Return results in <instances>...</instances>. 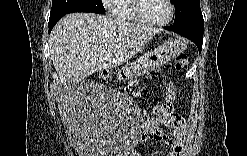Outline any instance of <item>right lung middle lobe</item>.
Listing matches in <instances>:
<instances>
[{"label":"right lung middle lobe","instance_id":"right-lung-middle-lobe-1","mask_svg":"<svg viewBox=\"0 0 247 156\" xmlns=\"http://www.w3.org/2000/svg\"><path fill=\"white\" fill-rule=\"evenodd\" d=\"M73 12L105 13L101 0H52L50 19L63 17Z\"/></svg>","mask_w":247,"mask_h":156}]
</instances>
